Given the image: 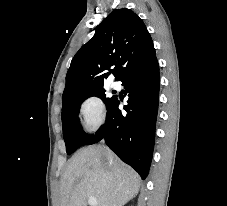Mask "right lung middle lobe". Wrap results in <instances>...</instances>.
<instances>
[{
    "label": "right lung middle lobe",
    "mask_w": 227,
    "mask_h": 206,
    "mask_svg": "<svg viewBox=\"0 0 227 206\" xmlns=\"http://www.w3.org/2000/svg\"><path fill=\"white\" fill-rule=\"evenodd\" d=\"M90 96H96L103 100L108 107L109 104L116 98H107L105 89L103 87L91 89L69 98L62 100V125L63 137L66 144L67 154L70 155L75 152L79 147L86 145L91 139L79 126L76 120V114L79 113L78 104Z\"/></svg>",
    "instance_id": "obj_1"
}]
</instances>
